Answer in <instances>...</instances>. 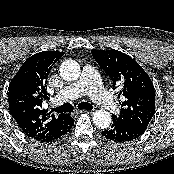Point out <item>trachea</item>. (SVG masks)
Instances as JSON below:
<instances>
[{
  "mask_svg": "<svg viewBox=\"0 0 174 174\" xmlns=\"http://www.w3.org/2000/svg\"><path fill=\"white\" fill-rule=\"evenodd\" d=\"M79 109H85V110H92L93 106L88 102H81L78 104ZM73 105L70 103H65L59 107L52 108V111H55L57 113H66V112H72L73 111Z\"/></svg>",
  "mask_w": 174,
  "mask_h": 174,
  "instance_id": "trachea-1",
  "label": "trachea"
}]
</instances>
